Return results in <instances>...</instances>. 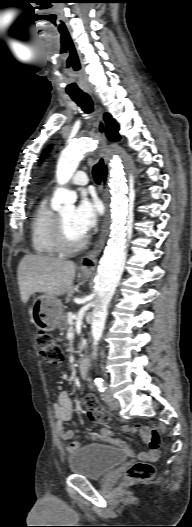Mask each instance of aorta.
<instances>
[{
	"mask_svg": "<svg viewBox=\"0 0 192 527\" xmlns=\"http://www.w3.org/2000/svg\"><path fill=\"white\" fill-rule=\"evenodd\" d=\"M94 140L90 138L81 139L67 145L61 152L56 168V178L59 185L66 184L75 173L83 154L95 147ZM111 232L110 239L100 260L96 277V302L94 308V320L92 323L93 346L96 347L104 330L107 307L111 301L117 283L123 272L126 258L127 235L131 227L127 223L128 202L130 185L127 173L129 168L125 167L118 156L111 161ZM75 195L63 187H59L52 200V207L61 210L63 206H73Z\"/></svg>",
	"mask_w": 192,
	"mask_h": 527,
	"instance_id": "obj_1",
	"label": "aorta"
}]
</instances>
